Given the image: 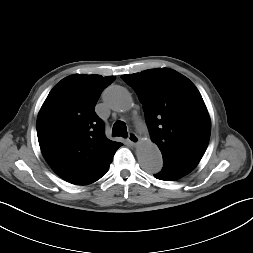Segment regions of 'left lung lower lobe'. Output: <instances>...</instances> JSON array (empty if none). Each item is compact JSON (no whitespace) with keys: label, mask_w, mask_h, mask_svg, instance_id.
Here are the masks:
<instances>
[{"label":"left lung lower lobe","mask_w":253,"mask_h":253,"mask_svg":"<svg viewBox=\"0 0 253 253\" xmlns=\"http://www.w3.org/2000/svg\"><path fill=\"white\" fill-rule=\"evenodd\" d=\"M196 166L182 162L164 161L162 171L154 177L160 180L173 181L190 173Z\"/></svg>","instance_id":"obj_1"}]
</instances>
